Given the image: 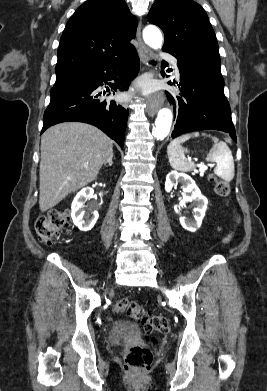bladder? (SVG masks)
Here are the masks:
<instances>
[{"label":"bladder","mask_w":267,"mask_h":391,"mask_svg":"<svg viewBox=\"0 0 267 391\" xmlns=\"http://www.w3.org/2000/svg\"><path fill=\"white\" fill-rule=\"evenodd\" d=\"M135 330V327L129 322H117L111 328L108 337L111 342H117L120 339L133 335Z\"/></svg>","instance_id":"1"}]
</instances>
